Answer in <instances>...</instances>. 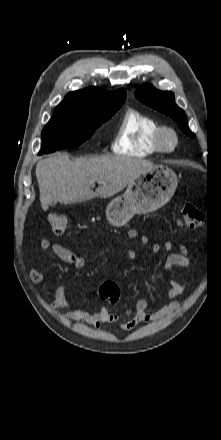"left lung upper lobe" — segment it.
I'll list each match as a JSON object with an SVG mask.
<instances>
[{
    "mask_svg": "<svg viewBox=\"0 0 221 440\" xmlns=\"http://www.w3.org/2000/svg\"><path fill=\"white\" fill-rule=\"evenodd\" d=\"M135 95L144 104L170 116L176 121L183 133L188 136H195L188 127L184 111L175 104L172 92L159 91L152 85L147 84L140 87Z\"/></svg>",
    "mask_w": 221,
    "mask_h": 440,
    "instance_id": "1",
    "label": "left lung upper lobe"
}]
</instances>
